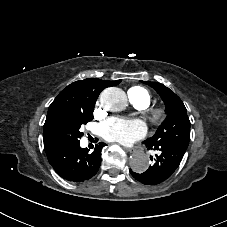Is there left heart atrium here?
<instances>
[{
  "instance_id": "1",
  "label": "left heart atrium",
  "mask_w": 227,
  "mask_h": 227,
  "mask_svg": "<svg viewBox=\"0 0 227 227\" xmlns=\"http://www.w3.org/2000/svg\"><path fill=\"white\" fill-rule=\"evenodd\" d=\"M102 136L109 142L130 145L146 136L147 126L141 119L110 117L100 125Z\"/></svg>"
}]
</instances>
